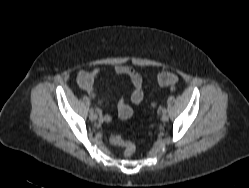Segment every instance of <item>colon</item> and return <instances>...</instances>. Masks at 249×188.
I'll return each mask as SVG.
<instances>
[{
  "instance_id": "colon-1",
  "label": "colon",
  "mask_w": 249,
  "mask_h": 188,
  "mask_svg": "<svg viewBox=\"0 0 249 188\" xmlns=\"http://www.w3.org/2000/svg\"><path fill=\"white\" fill-rule=\"evenodd\" d=\"M177 81L176 75L169 71L162 72L158 76V82L163 86L174 87L177 84ZM109 142L113 145L123 146L124 154L126 156L132 155L135 151V146L132 143L125 141L120 136L111 135L109 137Z\"/></svg>"
}]
</instances>
